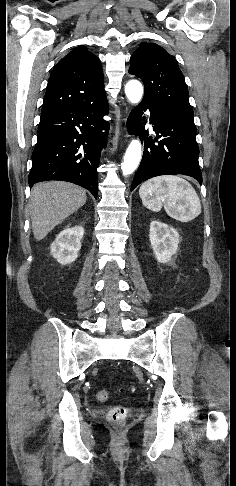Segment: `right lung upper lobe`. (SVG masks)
Segmentation results:
<instances>
[{"label": "right lung upper lobe", "instance_id": "right-lung-upper-lobe-1", "mask_svg": "<svg viewBox=\"0 0 236 486\" xmlns=\"http://www.w3.org/2000/svg\"><path fill=\"white\" fill-rule=\"evenodd\" d=\"M106 99L101 63L79 46L62 58L48 80L41 114Z\"/></svg>", "mask_w": 236, "mask_h": 486}]
</instances>
